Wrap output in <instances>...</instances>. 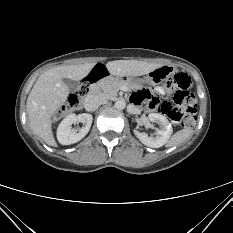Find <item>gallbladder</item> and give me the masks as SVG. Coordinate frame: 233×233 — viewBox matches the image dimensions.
I'll list each match as a JSON object with an SVG mask.
<instances>
[{"mask_svg": "<svg viewBox=\"0 0 233 233\" xmlns=\"http://www.w3.org/2000/svg\"><path fill=\"white\" fill-rule=\"evenodd\" d=\"M64 83L67 85L71 92H75L79 88V82L71 79H64Z\"/></svg>", "mask_w": 233, "mask_h": 233, "instance_id": "1", "label": "gallbladder"}]
</instances>
